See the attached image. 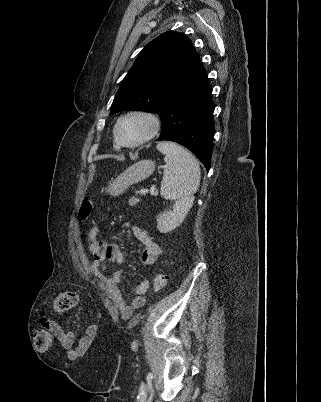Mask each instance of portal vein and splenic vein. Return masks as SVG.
Returning a JSON list of instances; mask_svg holds the SVG:
<instances>
[{"mask_svg": "<svg viewBox=\"0 0 321 402\" xmlns=\"http://www.w3.org/2000/svg\"><path fill=\"white\" fill-rule=\"evenodd\" d=\"M148 193V189H141L140 194L141 195H146Z\"/></svg>", "mask_w": 321, "mask_h": 402, "instance_id": "obj_1", "label": "portal vein and splenic vein"}]
</instances>
